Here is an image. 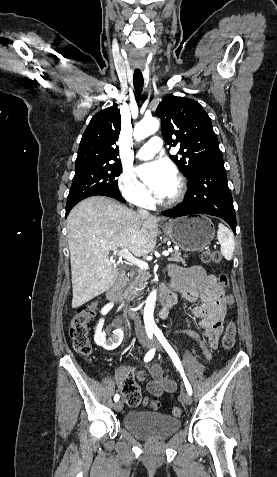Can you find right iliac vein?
<instances>
[{
  "label": "right iliac vein",
  "instance_id": "1",
  "mask_svg": "<svg viewBox=\"0 0 277 477\" xmlns=\"http://www.w3.org/2000/svg\"><path fill=\"white\" fill-rule=\"evenodd\" d=\"M143 346H144L145 348H148V347H149V344H148L147 342H143ZM122 408H123V403H122V401H117V402L114 404V409H115L116 411H121Z\"/></svg>",
  "mask_w": 277,
  "mask_h": 477
}]
</instances>
